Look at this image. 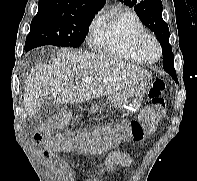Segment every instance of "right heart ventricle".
<instances>
[{
    "label": "right heart ventricle",
    "mask_w": 197,
    "mask_h": 181,
    "mask_svg": "<svg viewBox=\"0 0 197 181\" xmlns=\"http://www.w3.org/2000/svg\"><path fill=\"white\" fill-rule=\"evenodd\" d=\"M145 31L139 16L130 9H122L110 17L102 18L91 43L92 49L104 56L143 63L134 48V40Z\"/></svg>",
    "instance_id": "right-heart-ventricle-1"
}]
</instances>
